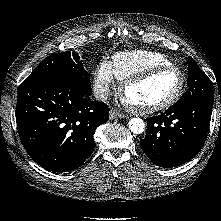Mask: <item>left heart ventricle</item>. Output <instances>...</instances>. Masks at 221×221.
Wrapping results in <instances>:
<instances>
[{
  "mask_svg": "<svg viewBox=\"0 0 221 221\" xmlns=\"http://www.w3.org/2000/svg\"><path fill=\"white\" fill-rule=\"evenodd\" d=\"M177 71H164L129 87L126 100L137 106H151L170 98L180 85Z\"/></svg>",
  "mask_w": 221,
  "mask_h": 221,
  "instance_id": "1",
  "label": "left heart ventricle"
}]
</instances>
